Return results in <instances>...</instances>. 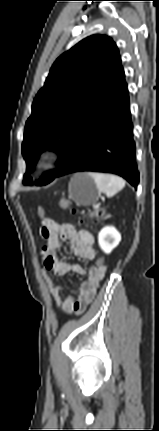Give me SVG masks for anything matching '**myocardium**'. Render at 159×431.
I'll list each match as a JSON object with an SVG mask.
<instances>
[{"instance_id": "f54148a6", "label": "myocardium", "mask_w": 159, "mask_h": 431, "mask_svg": "<svg viewBox=\"0 0 159 431\" xmlns=\"http://www.w3.org/2000/svg\"><path fill=\"white\" fill-rule=\"evenodd\" d=\"M58 154L53 149H43L37 154V166L43 170H49L54 167Z\"/></svg>"}]
</instances>
